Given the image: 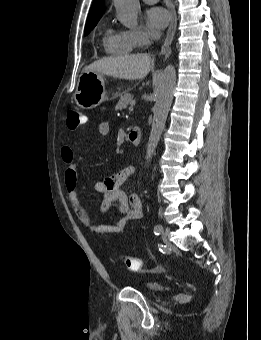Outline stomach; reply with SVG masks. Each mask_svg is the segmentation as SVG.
I'll list each match as a JSON object with an SVG mask.
<instances>
[{
    "label": "stomach",
    "instance_id": "obj_1",
    "mask_svg": "<svg viewBox=\"0 0 261 340\" xmlns=\"http://www.w3.org/2000/svg\"><path fill=\"white\" fill-rule=\"evenodd\" d=\"M116 97V94L113 95ZM109 98L103 74L83 71L79 76L74 100L82 109H92Z\"/></svg>",
    "mask_w": 261,
    "mask_h": 340
}]
</instances>
